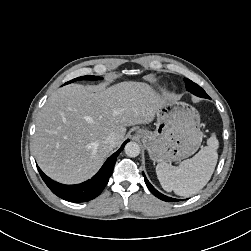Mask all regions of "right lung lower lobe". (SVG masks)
Masks as SVG:
<instances>
[{"label":"right lung lower lobe","instance_id":"obj_1","mask_svg":"<svg viewBox=\"0 0 251 251\" xmlns=\"http://www.w3.org/2000/svg\"><path fill=\"white\" fill-rule=\"evenodd\" d=\"M128 141L129 140H126L122 144L120 149L106 160L104 165L101 167V169L95 176L81 184H60L46 176L38 166L37 168L43 181L50 188V190L58 197L74 203L90 201L97 197L108 183L109 178L113 172L117 156L123 150L125 144Z\"/></svg>","mask_w":251,"mask_h":251}]
</instances>
